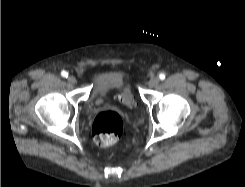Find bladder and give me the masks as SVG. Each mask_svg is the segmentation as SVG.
I'll list each match as a JSON object with an SVG mask.
<instances>
[{
	"instance_id": "1",
	"label": "bladder",
	"mask_w": 245,
	"mask_h": 187,
	"mask_svg": "<svg viewBox=\"0 0 245 187\" xmlns=\"http://www.w3.org/2000/svg\"><path fill=\"white\" fill-rule=\"evenodd\" d=\"M123 85H124L123 76L120 73H116V72L111 73L98 83L97 91L95 92V95L97 96L102 92L107 93L110 90L119 88Z\"/></svg>"
}]
</instances>
